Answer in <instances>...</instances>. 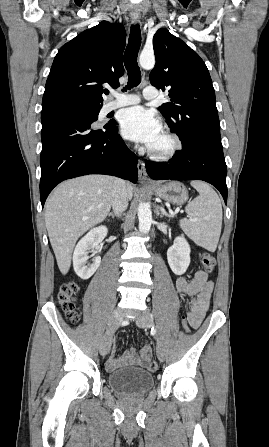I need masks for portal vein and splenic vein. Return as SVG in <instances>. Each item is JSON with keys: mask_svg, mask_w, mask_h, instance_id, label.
I'll return each mask as SVG.
<instances>
[{"mask_svg": "<svg viewBox=\"0 0 269 447\" xmlns=\"http://www.w3.org/2000/svg\"><path fill=\"white\" fill-rule=\"evenodd\" d=\"M162 214H164V216H168V218H174L175 214H167V212H165L164 208H160ZM190 222H194V220H190Z\"/></svg>", "mask_w": 269, "mask_h": 447, "instance_id": "18ae733b", "label": "portal vein and splenic vein"}]
</instances>
